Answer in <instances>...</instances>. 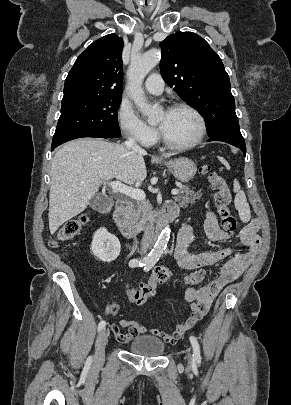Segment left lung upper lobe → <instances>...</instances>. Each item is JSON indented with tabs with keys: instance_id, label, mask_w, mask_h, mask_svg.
I'll return each mask as SVG.
<instances>
[{
	"instance_id": "1",
	"label": "left lung upper lobe",
	"mask_w": 291,
	"mask_h": 405,
	"mask_svg": "<svg viewBox=\"0 0 291 405\" xmlns=\"http://www.w3.org/2000/svg\"><path fill=\"white\" fill-rule=\"evenodd\" d=\"M161 75L204 117L210 137L241 134L230 80L217 53L199 35L176 32L163 42Z\"/></svg>"
}]
</instances>
